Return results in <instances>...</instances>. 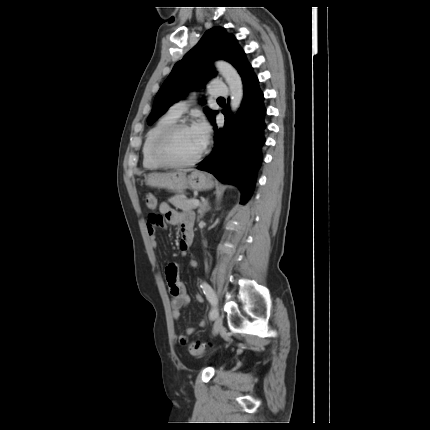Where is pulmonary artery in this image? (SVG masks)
<instances>
[{
  "label": "pulmonary artery",
  "mask_w": 430,
  "mask_h": 430,
  "mask_svg": "<svg viewBox=\"0 0 430 430\" xmlns=\"http://www.w3.org/2000/svg\"><path fill=\"white\" fill-rule=\"evenodd\" d=\"M210 94L212 96H227L229 94L228 87L220 81H213L210 85ZM190 106L189 100H181L176 102L170 107L169 112L179 117L182 115Z\"/></svg>",
  "instance_id": "obj_1"
}]
</instances>
